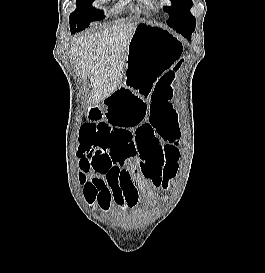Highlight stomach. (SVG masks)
<instances>
[{
    "mask_svg": "<svg viewBox=\"0 0 265 273\" xmlns=\"http://www.w3.org/2000/svg\"><path fill=\"white\" fill-rule=\"evenodd\" d=\"M182 44L170 31L150 23L138 24L130 39L124 85L132 95H149L152 85L178 59Z\"/></svg>",
    "mask_w": 265,
    "mask_h": 273,
    "instance_id": "obj_1",
    "label": "stomach"
}]
</instances>
